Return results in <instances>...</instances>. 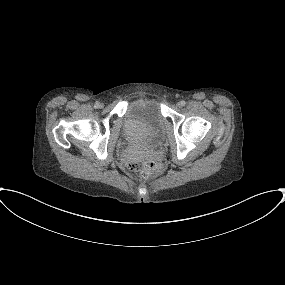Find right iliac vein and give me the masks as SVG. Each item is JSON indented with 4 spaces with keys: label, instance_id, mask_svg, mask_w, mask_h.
Returning a JSON list of instances; mask_svg holds the SVG:
<instances>
[{
    "label": "right iliac vein",
    "instance_id": "1",
    "mask_svg": "<svg viewBox=\"0 0 285 285\" xmlns=\"http://www.w3.org/2000/svg\"><path fill=\"white\" fill-rule=\"evenodd\" d=\"M102 106H103V104H102V103H99L98 108H100V107H102Z\"/></svg>",
    "mask_w": 285,
    "mask_h": 285
}]
</instances>
